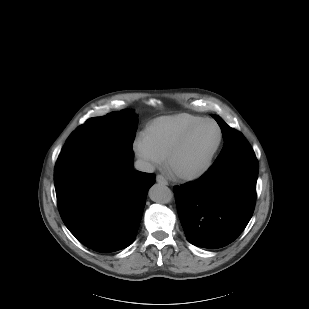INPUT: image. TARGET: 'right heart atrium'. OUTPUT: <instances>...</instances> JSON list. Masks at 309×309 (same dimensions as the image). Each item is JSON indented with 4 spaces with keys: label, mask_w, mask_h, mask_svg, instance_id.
<instances>
[{
    "label": "right heart atrium",
    "mask_w": 309,
    "mask_h": 309,
    "mask_svg": "<svg viewBox=\"0 0 309 309\" xmlns=\"http://www.w3.org/2000/svg\"><path fill=\"white\" fill-rule=\"evenodd\" d=\"M133 152L146 168H153L161 164L162 159L148 146L144 138L138 137L133 143Z\"/></svg>",
    "instance_id": "right-heart-atrium-1"
}]
</instances>
